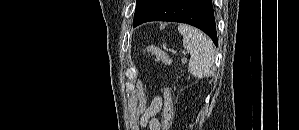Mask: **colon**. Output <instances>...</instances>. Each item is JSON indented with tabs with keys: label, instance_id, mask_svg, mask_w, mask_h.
Returning a JSON list of instances; mask_svg holds the SVG:
<instances>
[{
	"label": "colon",
	"instance_id": "colon-1",
	"mask_svg": "<svg viewBox=\"0 0 299 130\" xmlns=\"http://www.w3.org/2000/svg\"><path fill=\"white\" fill-rule=\"evenodd\" d=\"M144 54L154 56L158 61L165 65H170L171 61L168 54L158 46L149 45L144 49ZM173 119V100L171 91L166 88L164 91V109L162 115L163 130H170Z\"/></svg>",
	"mask_w": 299,
	"mask_h": 130
}]
</instances>
